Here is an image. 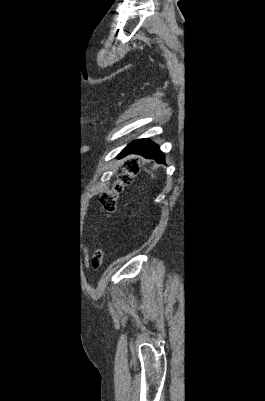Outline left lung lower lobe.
I'll list each match as a JSON object with an SVG mask.
<instances>
[{"instance_id":"left-lung-lower-lobe-1","label":"left lung lower lobe","mask_w":265,"mask_h":401,"mask_svg":"<svg viewBox=\"0 0 265 401\" xmlns=\"http://www.w3.org/2000/svg\"><path fill=\"white\" fill-rule=\"evenodd\" d=\"M140 154L145 158L155 159L157 163H164V155L158 145L149 139H140L130 143L120 154L121 157L127 154Z\"/></svg>"}]
</instances>
